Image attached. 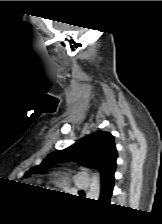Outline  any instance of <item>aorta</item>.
I'll list each match as a JSON object with an SVG mask.
<instances>
[{"label": "aorta", "mask_w": 162, "mask_h": 224, "mask_svg": "<svg viewBox=\"0 0 162 224\" xmlns=\"http://www.w3.org/2000/svg\"><path fill=\"white\" fill-rule=\"evenodd\" d=\"M101 182L99 174L95 173L92 175L89 191L87 198L98 200L100 196Z\"/></svg>", "instance_id": "762f6f07"}]
</instances>
